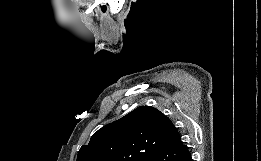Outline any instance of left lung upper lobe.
<instances>
[{"label": "left lung upper lobe", "mask_w": 261, "mask_h": 161, "mask_svg": "<svg viewBox=\"0 0 261 161\" xmlns=\"http://www.w3.org/2000/svg\"><path fill=\"white\" fill-rule=\"evenodd\" d=\"M177 133L172 122L151 106H140L99 129L83 145L77 161H149Z\"/></svg>", "instance_id": "left-lung-upper-lobe-1"}]
</instances>
